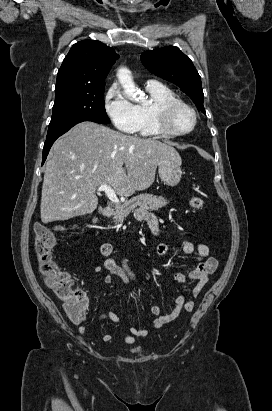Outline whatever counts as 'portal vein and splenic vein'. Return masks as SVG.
I'll return each instance as SVG.
<instances>
[{"label":"portal vein and splenic vein","mask_w":272,"mask_h":411,"mask_svg":"<svg viewBox=\"0 0 272 411\" xmlns=\"http://www.w3.org/2000/svg\"><path fill=\"white\" fill-rule=\"evenodd\" d=\"M97 190L98 191H104L111 202H113L115 204L119 203V199H118L115 191L113 190L112 186L105 185V184L97 185Z\"/></svg>","instance_id":"18ae733b"}]
</instances>
